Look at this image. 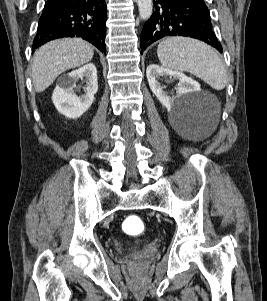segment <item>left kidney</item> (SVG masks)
Segmentation results:
<instances>
[{"instance_id":"5707ae66","label":"left kidney","mask_w":267,"mask_h":301,"mask_svg":"<svg viewBox=\"0 0 267 301\" xmlns=\"http://www.w3.org/2000/svg\"><path fill=\"white\" fill-rule=\"evenodd\" d=\"M146 76L149 83L151 91L155 94L160 103L165 106L167 109H172L177 98L196 92L200 89V85L187 77L182 72L173 71L171 69L160 67L156 64H151L147 67ZM170 76L174 79L179 80L178 88L176 91V96H170L165 92L159 82L160 77Z\"/></svg>"}]
</instances>
